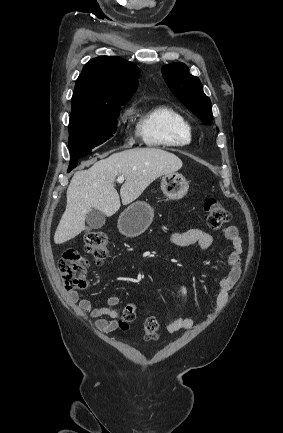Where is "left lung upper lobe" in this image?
I'll use <instances>...</instances> for the list:
<instances>
[{
  "instance_id": "1",
  "label": "left lung upper lobe",
  "mask_w": 283,
  "mask_h": 433,
  "mask_svg": "<svg viewBox=\"0 0 283 433\" xmlns=\"http://www.w3.org/2000/svg\"><path fill=\"white\" fill-rule=\"evenodd\" d=\"M162 75L173 94L205 124L213 120L210 98L203 92L198 77L189 73L183 63L162 67Z\"/></svg>"
}]
</instances>
